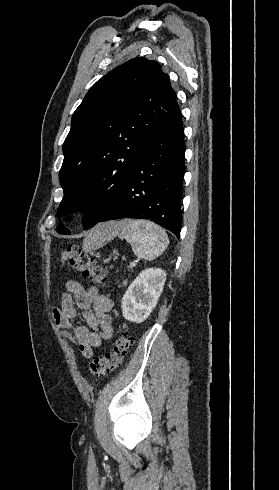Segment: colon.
<instances>
[{"instance_id":"5ec220e1","label":"colon","mask_w":279,"mask_h":490,"mask_svg":"<svg viewBox=\"0 0 279 490\" xmlns=\"http://www.w3.org/2000/svg\"><path fill=\"white\" fill-rule=\"evenodd\" d=\"M60 261L75 268L83 277L94 285H104L107 273L100 264L90 255L81 251L78 245L69 244L60 254ZM133 338L128 332L120 334L114 342L113 351L103 357L90 360L88 372L91 377L106 375L120 366L129 352Z\"/></svg>"}]
</instances>
